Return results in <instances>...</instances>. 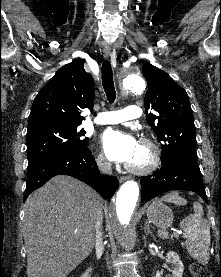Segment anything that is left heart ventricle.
<instances>
[{
    "instance_id": "b2bd125f",
    "label": "left heart ventricle",
    "mask_w": 221,
    "mask_h": 277,
    "mask_svg": "<svg viewBox=\"0 0 221 277\" xmlns=\"http://www.w3.org/2000/svg\"><path fill=\"white\" fill-rule=\"evenodd\" d=\"M148 161V153L146 149L139 144L138 150L133 157V159L129 162L133 165H144Z\"/></svg>"
}]
</instances>
